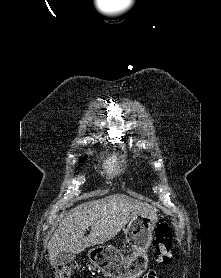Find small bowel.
Here are the masks:
<instances>
[{
    "label": "small bowel",
    "instance_id": "obj_1",
    "mask_svg": "<svg viewBox=\"0 0 221 278\" xmlns=\"http://www.w3.org/2000/svg\"><path fill=\"white\" fill-rule=\"evenodd\" d=\"M144 278H156V276H154L153 273H149Z\"/></svg>",
    "mask_w": 221,
    "mask_h": 278
}]
</instances>
